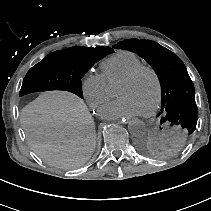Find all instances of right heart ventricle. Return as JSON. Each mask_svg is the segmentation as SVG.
I'll return each instance as SVG.
<instances>
[{"label": "right heart ventricle", "mask_w": 211, "mask_h": 211, "mask_svg": "<svg viewBox=\"0 0 211 211\" xmlns=\"http://www.w3.org/2000/svg\"><path fill=\"white\" fill-rule=\"evenodd\" d=\"M140 65H143V61L135 53L118 51L101 63L102 76L107 82H112Z\"/></svg>", "instance_id": "right-heart-ventricle-1"}]
</instances>
